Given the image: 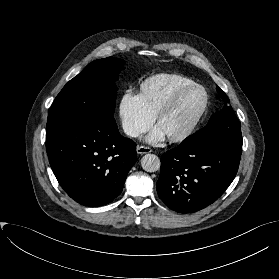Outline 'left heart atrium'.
<instances>
[{
	"label": "left heart atrium",
	"instance_id": "left-heart-atrium-1",
	"mask_svg": "<svg viewBox=\"0 0 279 279\" xmlns=\"http://www.w3.org/2000/svg\"><path fill=\"white\" fill-rule=\"evenodd\" d=\"M165 137H166L165 133L162 131V129L159 126H157L151 131V133L146 138V140L149 143L158 144L162 142L165 139Z\"/></svg>",
	"mask_w": 279,
	"mask_h": 279
}]
</instances>
